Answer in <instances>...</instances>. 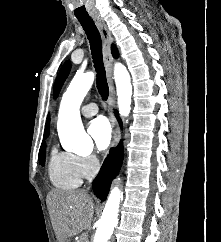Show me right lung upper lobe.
<instances>
[{
	"instance_id": "1",
	"label": "right lung upper lobe",
	"mask_w": 221,
	"mask_h": 242,
	"mask_svg": "<svg viewBox=\"0 0 221 242\" xmlns=\"http://www.w3.org/2000/svg\"><path fill=\"white\" fill-rule=\"evenodd\" d=\"M111 51H112L113 57H118V56H119V53H118V51L116 50L114 44H112V46H111ZM48 118H49V117H48ZM49 123H50V120L48 119L47 122H46V126H45V133H44V136H49V133H50Z\"/></svg>"
}]
</instances>
